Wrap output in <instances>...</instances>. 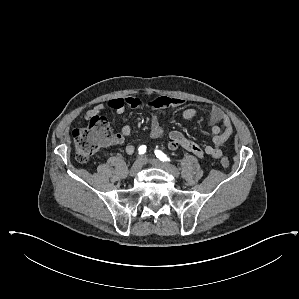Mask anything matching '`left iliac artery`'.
<instances>
[{
	"instance_id": "44dca946",
	"label": "left iliac artery",
	"mask_w": 299,
	"mask_h": 299,
	"mask_svg": "<svg viewBox=\"0 0 299 299\" xmlns=\"http://www.w3.org/2000/svg\"><path fill=\"white\" fill-rule=\"evenodd\" d=\"M155 155L163 162L170 161V158H168L161 150H155Z\"/></svg>"
}]
</instances>
